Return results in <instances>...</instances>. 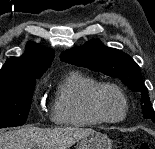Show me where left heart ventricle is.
I'll return each mask as SVG.
<instances>
[{
  "instance_id": "b2bd125f",
  "label": "left heart ventricle",
  "mask_w": 155,
  "mask_h": 149,
  "mask_svg": "<svg viewBox=\"0 0 155 149\" xmlns=\"http://www.w3.org/2000/svg\"><path fill=\"white\" fill-rule=\"evenodd\" d=\"M98 102L100 109L108 118L116 119L122 116L124 104L121 97L114 90H102Z\"/></svg>"
}]
</instances>
